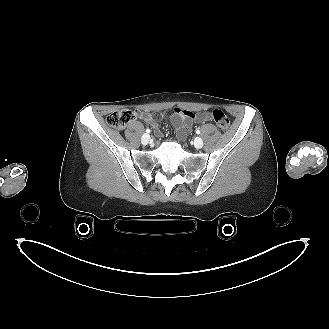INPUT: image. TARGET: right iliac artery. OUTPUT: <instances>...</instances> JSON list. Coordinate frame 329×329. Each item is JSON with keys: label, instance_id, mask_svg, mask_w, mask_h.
I'll list each match as a JSON object with an SVG mask.
<instances>
[{"label": "right iliac artery", "instance_id": "right-iliac-artery-1", "mask_svg": "<svg viewBox=\"0 0 329 329\" xmlns=\"http://www.w3.org/2000/svg\"><path fill=\"white\" fill-rule=\"evenodd\" d=\"M146 132H147V133H150L151 131H150V129H146Z\"/></svg>", "mask_w": 329, "mask_h": 329}]
</instances>
